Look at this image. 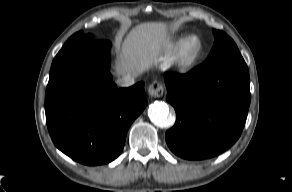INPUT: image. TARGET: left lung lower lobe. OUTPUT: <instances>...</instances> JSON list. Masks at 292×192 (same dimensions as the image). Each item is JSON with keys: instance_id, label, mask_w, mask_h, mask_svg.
I'll list each match as a JSON object with an SVG mask.
<instances>
[{"instance_id": "left-lung-lower-lobe-1", "label": "left lung lower lobe", "mask_w": 292, "mask_h": 192, "mask_svg": "<svg viewBox=\"0 0 292 192\" xmlns=\"http://www.w3.org/2000/svg\"><path fill=\"white\" fill-rule=\"evenodd\" d=\"M176 123L166 132L177 156L202 160L219 155L239 138L250 104L249 72L243 58L224 57L187 74L164 75Z\"/></svg>"}]
</instances>
